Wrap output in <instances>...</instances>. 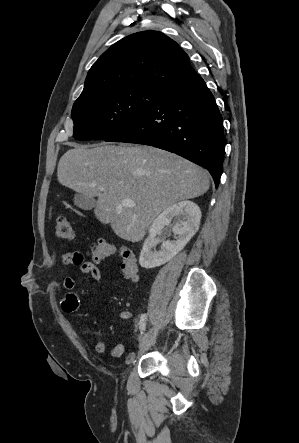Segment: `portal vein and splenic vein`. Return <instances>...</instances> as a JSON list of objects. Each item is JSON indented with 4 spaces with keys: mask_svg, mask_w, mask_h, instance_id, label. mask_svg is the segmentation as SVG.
Masks as SVG:
<instances>
[{
    "mask_svg": "<svg viewBox=\"0 0 299 443\" xmlns=\"http://www.w3.org/2000/svg\"><path fill=\"white\" fill-rule=\"evenodd\" d=\"M99 190L103 191L104 188L103 187H99ZM132 206H134V202L131 199H124L121 202V204L119 205V208H122V207H132Z\"/></svg>",
    "mask_w": 299,
    "mask_h": 443,
    "instance_id": "18ae733b",
    "label": "portal vein and splenic vein"
}]
</instances>
